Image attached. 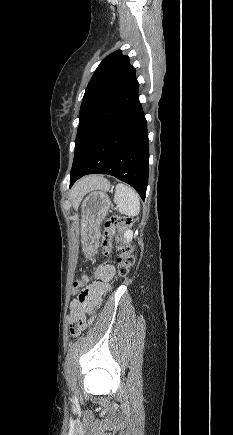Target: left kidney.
Masks as SVG:
<instances>
[{
    "mask_svg": "<svg viewBox=\"0 0 233 435\" xmlns=\"http://www.w3.org/2000/svg\"><path fill=\"white\" fill-rule=\"evenodd\" d=\"M124 238L127 240V242L129 243L131 240H132V238H133V231H131V230H127L125 233H124Z\"/></svg>",
    "mask_w": 233,
    "mask_h": 435,
    "instance_id": "5707ae66",
    "label": "left kidney"
}]
</instances>
